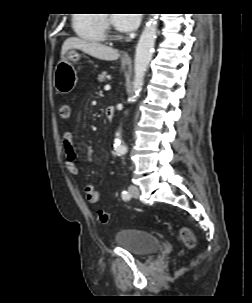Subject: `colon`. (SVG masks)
<instances>
[{
  "mask_svg": "<svg viewBox=\"0 0 252 303\" xmlns=\"http://www.w3.org/2000/svg\"><path fill=\"white\" fill-rule=\"evenodd\" d=\"M60 117L64 120L70 118L71 107L67 103H63L59 106ZM98 218L102 224H107L110 220L109 214L104 210L98 211ZM179 236L186 248L192 249L196 246V238L192 231L186 227H181L179 230Z\"/></svg>",
  "mask_w": 252,
  "mask_h": 303,
  "instance_id": "5ec220e1",
  "label": "colon"
}]
</instances>
